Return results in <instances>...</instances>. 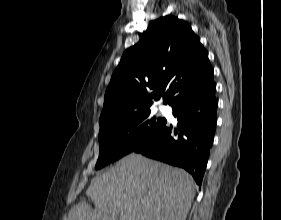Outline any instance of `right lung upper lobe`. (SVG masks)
Segmentation results:
<instances>
[{"label":"right lung upper lobe","mask_w":281,"mask_h":220,"mask_svg":"<svg viewBox=\"0 0 281 220\" xmlns=\"http://www.w3.org/2000/svg\"><path fill=\"white\" fill-rule=\"evenodd\" d=\"M211 83L208 52L188 23L171 15L161 17L124 52L105 93L100 128L149 109L161 96L169 104L180 94Z\"/></svg>","instance_id":"1"}]
</instances>
